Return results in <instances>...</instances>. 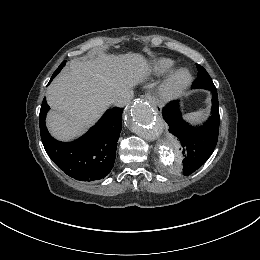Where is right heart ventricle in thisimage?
<instances>
[{
    "label": "right heart ventricle",
    "instance_id": "1",
    "mask_svg": "<svg viewBox=\"0 0 260 260\" xmlns=\"http://www.w3.org/2000/svg\"><path fill=\"white\" fill-rule=\"evenodd\" d=\"M174 66V60L166 57H160L152 62L151 69L156 74H163L171 70Z\"/></svg>",
    "mask_w": 260,
    "mask_h": 260
}]
</instances>
